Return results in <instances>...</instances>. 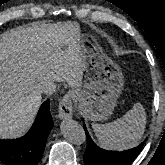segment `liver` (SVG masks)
<instances>
[{
    "label": "liver",
    "instance_id": "obj_1",
    "mask_svg": "<svg viewBox=\"0 0 165 165\" xmlns=\"http://www.w3.org/2000/svg\"><path fill=\"white\" fill-rule=\"evenodd\" d=\"M79 26L65 22L13 30L0 41V138L22 135L41 102L44 82H68L77 87L84 63L78 55ZM68 45V53L59 49Z\"/></svg>",
    "mask_w": 165,
    "mask_h": 165
}]
</instances>
